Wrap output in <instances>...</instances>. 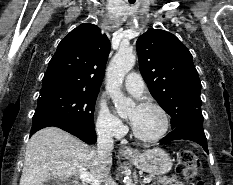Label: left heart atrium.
<instances>
[{"label":"left heart atrium","mask_w":233,"mask_h":185,"mask_svg":"<svg viewBox=\"0 0 233 185\" xmlns=\"http://www.w3.org/2000/svg\"><path fill=\"white\" fill-rule=\"evenodd\" d=\"M131 124L133 125V121L131 120Z\"/></svg>","instance_id":"obj_1"}]
</instances>
